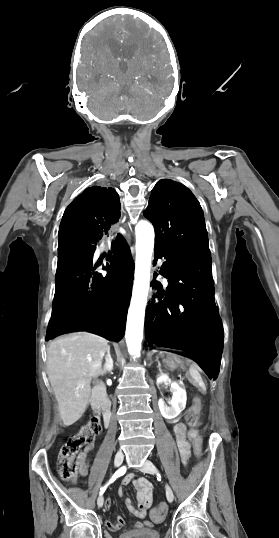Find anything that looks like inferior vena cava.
<instances>
[{
    "label": "inferior vena cava",
    "instance_id": "1",
    "mask_svg": "<svg viewBox=\"0 0 279 538\" xmlns=\"http://www.w3.org/2000/svg\"><path fill=\"white\" fill-rule=\"evenodd\" d=\"M117 455H120V456L123 457V454H122L121 450H120V452H118V453L116 454V456H117Z\"/></svg>",
    "mask_w": 279,
    "mask_h": 538
}]
</instances>
